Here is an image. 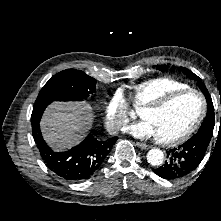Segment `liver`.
Instances as JSON below:
<instances>
[{
    "mask_svg": "<svg viewBox=\"0 0 221 221\" xmlns=\"http://www.w3.org/2000/svg\"><path fill=\"white\" fill-rule=\"evenodd\" d=\"M92 120L89 104L54 102L46 109L40 128L46 142L54 150L63 151L81 140Z\"/></svg>",
    "mask_w": 221,
    "mask_h": 221,
    "instance_id": "obj_1",
    "label": "liver"
}]
</instances>
